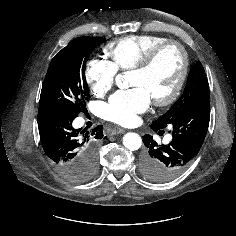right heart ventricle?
Listing matches in <instances>:
<instances>
[{"instance_id": "right-heart-ventricle-1", "label": "right heart ventricle", "mask_w": 236, "mask_h": 236, "mask_svg": "<svg viewBox=\"0 0 236 236\" xmlns=\"http://www.w3.org/2000/svg\"><path fill=\"white\" fill-rule=\"evenodd\" d=\"M162 35H128L108 43L104 52L117 70H128L136 66L155 46L168 41Z\"/></svg>"}]
</instances>
